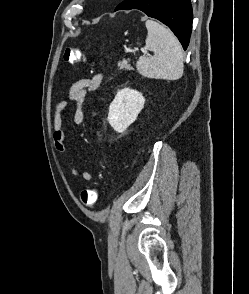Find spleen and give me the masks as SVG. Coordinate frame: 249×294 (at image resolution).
<instances>
[{
	"instance_id": "spleen-1",
	"label": "spleen",
	"mask_w": 249,
	"mask_h": 294,
	"mask_svg": "<svg viewBox=\"0 0 249 294\" xmlns=\"http://www.w3.org/2000/svg\"><path fill=\"white\" fill-rule=\"evenodd\" d=\"M146 47L154 56H142L136 64L138 72L148 78L177 80L183 75L184 59L182 47L172 33L160 23L148 19Z\"/></svg>"
}]
</instances>
